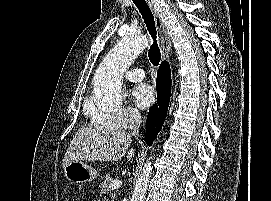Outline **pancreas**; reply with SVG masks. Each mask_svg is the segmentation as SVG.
I'll return each instance as SVG.
<instances>
[{
    "label": "pancreas",
    "mask_w": 271,
    "mask_h": 201,
    "mask_svg": "<svg viewBox=\"0 0 271 201\" xmlns=\"http://www.w3.org/2000/svg\"><path fill=\"white\" fill-rule=\"evenodd\" d=\"M112 181H114V178H112L110 175H106L104 177V181L100 184V194H105V193H109L111 200L110 201H114L117 198V194H118V190H110V184L112 183Z\"/></svg>",
    "instance_id": "cf45deb5"
}]
</instances>
